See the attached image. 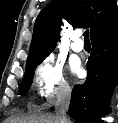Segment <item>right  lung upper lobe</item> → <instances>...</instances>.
<instances>
[{
    "instance_id": "1",
    "label": "right lung upper lobe",
    "mask_w": 118,
    "mask_h": 123,
    "mask_svg": "<svg viewBox=\"0 0 118 123\" xmlns=\"http://www.w3.org/2000/svg\"><path fill=\"white\" fill-rule=\"evenodd\" d=\"M63 15L74 28H90L91 41L118 27L115 0H58L49 3L36 19L26 70L54 50Z\"/></svg>"
}]
</instances>
